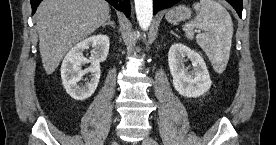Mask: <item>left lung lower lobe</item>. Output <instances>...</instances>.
Here are the masks:
<instances>
[{"label":"left lung lower lobe","mask_w":276,"mask_h":145,"mask_svg":"<svg viewBox=\"0 0 276 145\" xmlns=\"http://www.w3.org/2000/svg\"><path fill=\"white\" fill-rule=\"evenodd\" d=\"M180 0H153L154 2V14L157 11L166 9ZM237 11L239 17L242 16V0H226Z\"/></svg>","instance_id":"obj_1"}]
</instances>
